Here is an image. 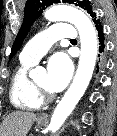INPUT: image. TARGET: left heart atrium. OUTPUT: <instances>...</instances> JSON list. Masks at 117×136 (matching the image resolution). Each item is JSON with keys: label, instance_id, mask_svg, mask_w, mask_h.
I'll use <instances>...</instances> for the list:
<instances>
[{"label": "left heart atrium", "instance_id": "obj_1", "mask_svg": "<svg viewBox=\"0 0 117 136\" xmlns=\"http://www.w3.org/2000/svg\"><path fill=\"white\" fill-rule=\"evenodd\" d=\"M47 87L51 92H59L68 84L73 67L68 55L57 52L52 55L47 66Z\"/></svg>", "mask_w": 117, "mask_h": 136}]
</instances>
